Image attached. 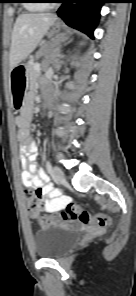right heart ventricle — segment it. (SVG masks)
Masks as SVG:
<instances>
[{"instance_id":"e07e8e85","label":"right heart ventricle","mask_w":136,"mask_h":296,"mask_svg":"<svg viewBox=\"0 0 136 296\" xmlns=\"http://www.w3.org/2000/svg\"><path fill=\"white\" fill-rule=\"evenodd\" d=\"M42 0H28V3L25 4V7L28 10H42L46 8V4L45 3H38Z\"/></svg>"}]
</instances>
